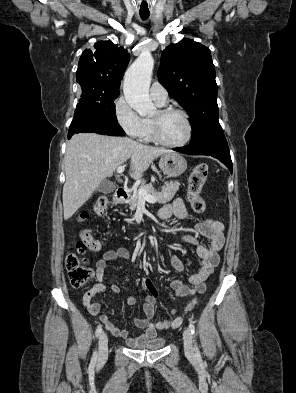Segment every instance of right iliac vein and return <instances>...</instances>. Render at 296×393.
<instances>
[{
	"mask_svg": "<svg viewBox=\"0 0 296 393\" xmlns=\"http://www.w3.org/2000/svg\"><path fill=\"white\" fill-rule=\"evenodd\" d=\"M108 356V337L102 333L99 338V361H103Z\"/></svg>",
	"mask_w": 296,
	"mask_h": 393,
	"instance_id": "63e3f726",
	"label": "right iliac vein"
}]
</instances>
